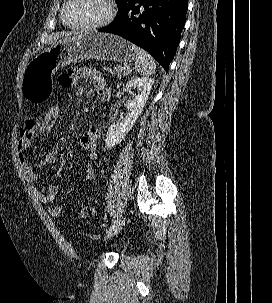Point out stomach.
Here are the masks:
<instances>
[{
    "mask_svg": "<svg viewBox=\"0 0 272 303\" xmlns=\"http://www.w3.org/2000/svg\"><path fill=\"white\" fill-rule=\"evenodd\" d=\"M85 59L128 63L136 59V53L128 41L107 33L90 31L61 39L28 63L21 83L23 96L32 103L45 101L51 94L55 72Z\"/></svg>",
    "mask_w": 272,
    "mask_h": 303,
    "instance_id": "stomach-1",
    "label": "stomach"
}]
</instances>
